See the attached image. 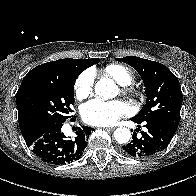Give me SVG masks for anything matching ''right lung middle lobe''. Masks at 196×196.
<instances>
[{"instance_id":"1","label":"right lung middle lobe","mask_w":196,"mask_h":196,"mask_svg":"<svg viewBox=\"0 0 196 196\" xmlns=\"http://www.w3.org/2000/svg\"><path fill=\"white\" fill-rule=\"evenodd\" d=\"M80 73L55 66L29 72L16 93L22 134L39 126L63 123L72 112L74 83Z\"/></svg>"}]
</instances>
